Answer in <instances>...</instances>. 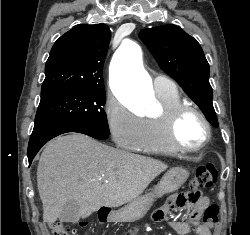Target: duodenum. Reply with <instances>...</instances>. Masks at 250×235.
<instances>
[{"label":"duodenum","mask_w":250,"mask_h":235,"mask_svg":"<svg viewBox=\"0 0 250 235\" xmlns=\"http://www.w3.org/2000/svg\"><path fill=\"white\" fill-rule=\"evenodd\" d=\"M109 216V212L107 210H103L101 212V222H107Z\"/></svg>","instance_id":"1"}]
</instances>
